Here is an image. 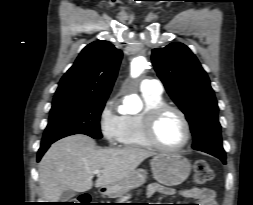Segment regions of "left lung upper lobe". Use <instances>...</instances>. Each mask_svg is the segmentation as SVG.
<instances>
[{
    "label": "left lung upper lobe",
    "instance_id": "5c2ea615",
    "mask_svg": "<svg viewBox=\"0 0 253 205\" xmlns=\"http://www.w3.org/2000/svg\"><path fill=\"white\" fill-rule=\"evenodd\" d=\"M152 62L168 94L190 123L193 149L225 157L217 101L196 56L186 45L174 42L153 49Z\"/></svg>",
    "mask_w": 253,
    "mask_h": 205
}]
</instances>
